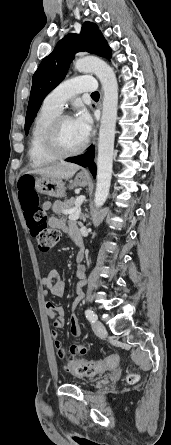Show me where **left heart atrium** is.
Listing matches in <instances>:
<instances>
[{"instance_id":"1","label":"left heart atrium","mask_w":171,"mask_h":445,"mask_svg":"<svg viewBox=\"0 0 171 445\" xmlns=\"http://www.w3.org/2000/svg\"><path fill=\"white\" fill-rule=\"evenodd\" d=\"M74 120L82 134L87 138L92 130V118L90 114L85 109H81Z\"/></svg>"}]
</instances>
